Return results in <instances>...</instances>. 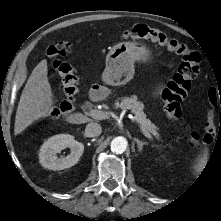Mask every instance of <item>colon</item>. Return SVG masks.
I'll use <instances>...</instances> for the list:
<instances>
[{
    "instance_id": "colon-1",
    "label": "colon",
    "mask_w": 221,
    "mask_h": 221,
    "mask_svg": "<svg viewBox=\"0 0 221 221\" xmlns=\"http://www.w3.org/2000/svg\"><path fill=\"white\" fill-rule=\"evenodd\" d=\"M122 38L128 40H149L181 57L182 61L177 72L161 93L165 111L170 119L181 125L190 146L211 143L215 138L212 115L208 116L204 131L199 133L186 123L181 108L182 101L187 97L191 89L192 81L199 73L202 60L201 54L189 48L186 44L167 37L163 32L142 24L135 25L123 32ZM68 48L69 45L66 42H60L47 49L48 56L53 59V68L62 79L66 95V100L50 112L52 118L71 112L73 100L78 92V71L73 65L63 59L67 54Z\"/></svg>"
}]
</instances>
